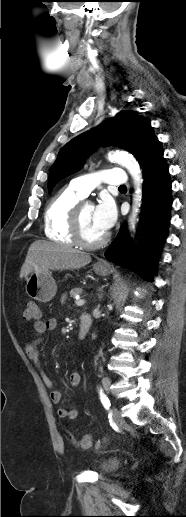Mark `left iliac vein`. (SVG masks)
<instances>
[{
  "instance_id": "4c4485c4",
  "label": "left iliac vein",
  "mask_w": 186,
  "mask_h": 517,
  "mask_svg": "<svg viewBox=\"0 0 186 517\" xmlns=\"http://www.w3.org/2000/svg\"><path fill=\"white\" fill-rule=\"evenodd\" d=\"M111 413H112V417H113V420L116 424L120 425L124 422L122 416H121V412L119 411L118 408L116 407H112L111 408Z\"/></svg>"
}]
</instances>
